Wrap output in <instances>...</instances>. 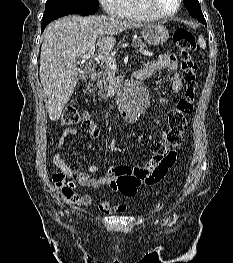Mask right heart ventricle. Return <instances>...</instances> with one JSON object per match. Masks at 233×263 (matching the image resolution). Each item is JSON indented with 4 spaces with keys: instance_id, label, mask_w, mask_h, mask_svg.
<instances>
[{
    "instance_id": "obj_1",
    "label": "right heart ventricle",
    "mask_w": 233,
    "mask_h": 263,
    "mask_svg": "<svg viewBox=\"0 0 233 263\" xmlns=\"http://www.w3.org/2000/svg\"><path fill=\"white\" fill-rule=\"evenodd\" d=\"M114 14L120 18L136 21H153L157 19L146 8L144 0H119Z\"/></svg>"
}]
</instances>
